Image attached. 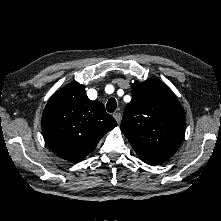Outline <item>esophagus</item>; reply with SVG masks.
Listing matches in <instances>:
<instances>
[{"label": "esophagus", "instance_id": "34e87169", "mask_svg": "<svg viewBox=\"0 0 221 221\" xmlns=\"http://www.w3.org/2000/svg\"><path fill=\"white\" fill-rule=\"evenodd\" d=\"M113 117L115 118V120L117 121L118 124H120L121 120H122V115L121 113L117 112L113 114Z\"/></svg>", "mask_w": 221, "mask_h": 221}]
</instances>
